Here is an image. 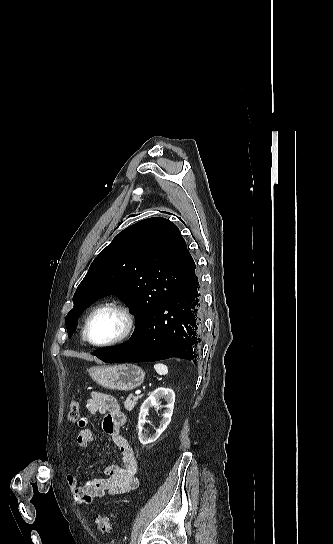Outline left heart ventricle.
Returning <instances> with one entry per match:
<instances>
[{
  "label": "left heart ventricle",
  "mask_w": 333,
  "mask_h": 544,
  "mask_svg": "<svg viewBox=\"0 0 333 544\" xmlns=\"http://www.w3.org/2000/svg\"><path fill=\"white\" fill-rule=\"evenodd\" d=\"M123 325V317L119 312L112 308L102 309L91 319L88 335L93 342H107L120 334Z\"/></svg>",
  "instance_id": "1"
}]
</instances>
